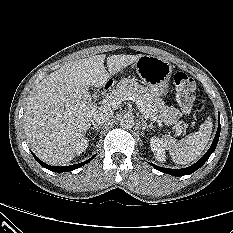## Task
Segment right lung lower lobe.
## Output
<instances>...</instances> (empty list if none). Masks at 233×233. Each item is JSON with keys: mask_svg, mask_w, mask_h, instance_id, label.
Here are the masks:
<instances>
[{"mask_svg": "<svg viewBox=\"0 0 233 233\" xmlns=\"http://www.w3.org/2000/svg\"><path fill=\"white\" fill-rule=\"evenodd\" d=\"M33 154V153H32ZM34 158L46 169L50 170V171H53V172H68V171H72V170H75L85 164H87L89 161H91V159L93 158H90L84 162H81L79 164H75V165H71V166H62V167H55V166H50L44 162H42L41 160H39L34 154H33Z\"/></svg>", "mask_w": 233, "mask_h": 233, "instance_id": "1", "label": "right lung lower lobe"}]
</instances>
